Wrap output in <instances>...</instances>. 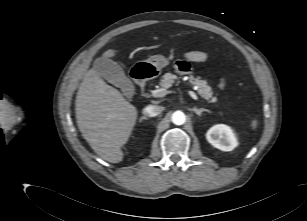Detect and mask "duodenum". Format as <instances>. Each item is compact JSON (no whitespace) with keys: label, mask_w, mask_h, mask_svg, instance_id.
Wrapping results in <instances>:
<instances>
[{"label":"duodenum","mask_w":307,"mask_h":221,"mask_svg":"<svg viewBox=\"0 0 307 221\" xmlns=\"http://www.w3.org/2000/svg\"><path fill=\"white\" fill-rule=\"evenodd\" d=\"M142 73L140 72V75L139 76H134L136 78V81H137V84L139 86V90H140V95L142 96L144 94V90H145V81L144 79V76L141 75Z\"/></svg>","instance_id":"duodenum-1"}]
</instances>
